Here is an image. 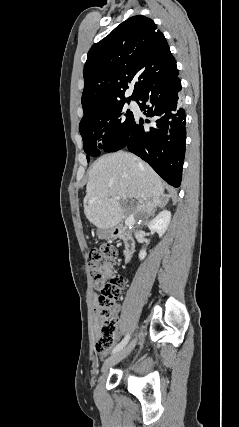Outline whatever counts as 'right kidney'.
I'll list each match as a JSON object with an SVG mask.
<instances>
[{"label": "right kidney", "instance_id": "1", "mask_svg": "<svg viewBox=\"0 0 239 427\" xmlns=\"http://www.w3.org/2000/svg\"><path fill=\"white\" fill-rule=\"evenodd\" d=\"M171 219V212L168 210H163L160 212L148 225V228L159 234V237L166 232L169 222ZM146 257V250L142 249L139 253L140 260H143Z\"/></svg>", "mask_w": 239, "mask_h": 427}]
</instances>
